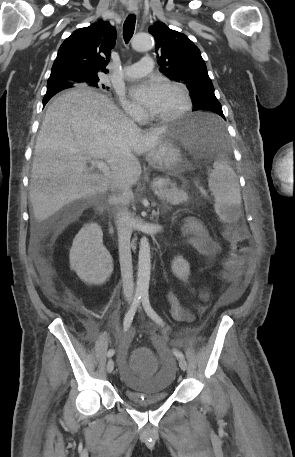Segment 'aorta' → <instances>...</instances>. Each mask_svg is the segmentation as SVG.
Here are the masks:
<instances>
[{"instance_id": "762f6f07", "label": "aorta", "mask_w": 295, "mask_h": 457, "mask_svg": "<svg viewBox=\"0 0 295 457\" xmlns=\"http://www.w3.org/2000/svg\"><path fill=\"white\" fill-rule=\"evenodd\" d=\"M132 48L136 51H147L153 46V38L147 33H137L132 39ZM151 270L150 245L144 236L140 240L138 275L136 292L138 294H148Z\"/></svg>"}]
</instances>
